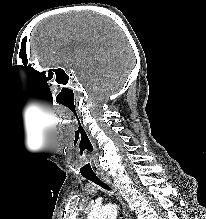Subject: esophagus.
Returning <instances> with one entry per match:
<instances>
[{
    "label": "esophagus",
    "instance_id": "obj_1",
    "mask_svg": "<svg viewBox=\"0 0 206 219\" xmlns=\"http://www.w3.org/2000/svg\"><path fill=\"white\" fill-rule=\"evenodd\" d=\"M101 179L108 185H110L112 187V189L114 190L118 200L120 201L121 205H122V209H123V215L125 217V219H133L132 215L130 214V212L127 210V206L125 204V202L122 200L121 195L119 193V191L117 190V188L112 184L111 180L109 179L108 176L106 175H101L100 176Z\"/></svg>",
    "mask_w": 206,
    "mask_h": 219
}]
</instances>
